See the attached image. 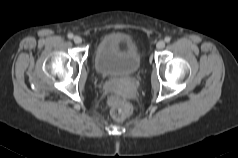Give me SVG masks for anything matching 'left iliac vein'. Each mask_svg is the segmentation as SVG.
I'll list each match as a JSON object with an SVG mask.
<instances>
[{"label":"left iliac vein","mask_w":238,"mask_h":158,"mask_svg":"<svg viewBox=\"0 0 238 158\" xmlns=\"http://www.w3.org/2000/svg\"><path fill=\"white\" fill-rule=\"evenodd\" d=\"M157 49H163L165 47V41L160 40L156 44Z\"/></svg>","instance_id":"1"}]
</instances>
